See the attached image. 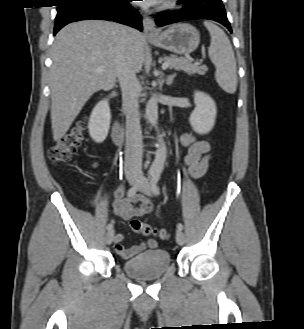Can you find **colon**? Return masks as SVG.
Returning a JSON list of instances; mask_svg holds the SVG:
<instances>
[{
	"label": "colon",
	"mask_w": 304,
	"mask_h": 329,
	"mask_svg": "<svg viewBox=\"0 0 304 329\" xmlns=\"http://www.w3.org/2000/svg\"><path fill=\"white\" fill-rule=\"evenodd\" d=\"M86 131V121H77L49 150V158L54 164H64L71 160L81 145ZM131 229L138 234L160 239L169 238L165 228L149 225L139 219L130 221Z\"/></svg>",
	"instance_id": "obj_1"
}]
</instances>
